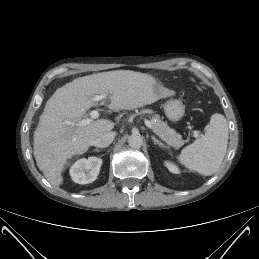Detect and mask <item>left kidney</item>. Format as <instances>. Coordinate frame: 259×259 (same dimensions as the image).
Returning a JSON list of instances; mask_svg holds the SVG:
<instances>
[{
	"label": "left kidney",
	"mask_w": 259,
	"mask_h": 259,
	"mask_svg": "<svg viewBox=\"0 0 259 259\" xmlns=\"http://www.w3.org/2000/svg\"><path fill=\"white\" fill-rule=\"evenodd\" d=\"M165 165L170 172L176 173V174L179 173V169L177 168V166L173 165L172 163L166 161Z\"/></svg>",
	"instance_id": "5707ae66"
}]
</instances>
